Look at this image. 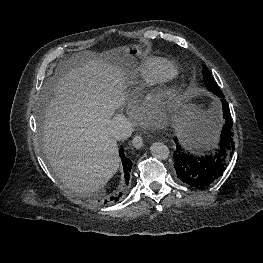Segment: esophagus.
Wrapping results in <instances>:
<instances>
[{
	"instance_id": "1",
	"label": "esophagus",
	"mask_w": 263,
	"mask_h": 263,
	"mask_svg": "<svg viewBox=\"0 0 263 263\" xmlns=\"http://www.w3.org/2000/svg\"><path fill=\"white\" fill-rule=\"evenodd\" d=\"M132 145L136 149H140L143 146V139L140 134L135 135L132 140Z\"/></svg>"
}]
</instances>
